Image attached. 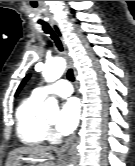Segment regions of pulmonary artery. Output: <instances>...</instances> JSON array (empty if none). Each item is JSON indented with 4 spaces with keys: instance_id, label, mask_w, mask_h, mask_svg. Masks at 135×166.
<instances>
[{
    "instance_id": "pulmonary-artery-1",
    "label": "pulmonary artery",
    "mask_w": 135,
    "mask_h": 166,
    "mask_svg": "<svg viewBox=\"0 0 135 166\" xmlns=\"http://www.w3.org/2000/svg\"><path fill=\"white\" fill-rule=\"evenodd\" d=\"M73 93L72 85L67 80H59L51 87H37L33 90V95L44 99L50 94L57 95L59 97H68Z\"/></svg>"
}]
</instances>
